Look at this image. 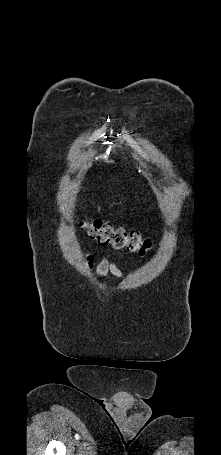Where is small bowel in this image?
<instances>
[{"label": "small bowel", "mask_w": 221, "mask_h": 455, "mask_svg": "<svg viewBox=\"0 0 221 455\" xmlns=\"http://www.w3.org/2000/svg\"><path fill=\"white\" fill-rule=\"evenodd\" d=\"M84 265L88 270H95L97 276L104 280L109 274L117 279L124 280L125 274L120 269L116 260L109 259L106 255L100 254L97 257L86 256Z\"/></svg>", "instance_id": "1"}]
</instances>
